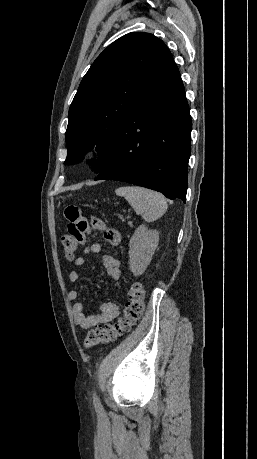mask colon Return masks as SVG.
I'll return each mask as SVG.
<instances>
[{"instance_id": "obj_1", "label": "colon", "mask_w": 257, "mask_h": 459, "mask_svg": "<svg viewBox=\"0 0 257 459\" xmlns=\"http://www.w3.org/2000/svg\"><path fill=\"white\" fill-rule=\"evenodd\" d=\"M70 227V226H68ZM62 250L67 259H73L79 247L72 236L62 237ZM145 291L141 284L134 283L128 290V301L124 314L113 324L98 326L88 332L84 339V345L91 348L100 344L112 342L129 332L141 319L144 313Z\"/></svg>"}]
</instances>
